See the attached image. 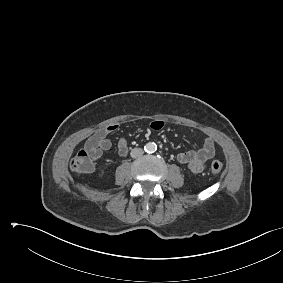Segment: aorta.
I'll list each match as a JSON object with an SVG mask.
<instances>
[{
    "mask_svg": "<svg viewBox=\"0 0 283 283\" xmlns=\"http://www.w3.org/2000/svg\"><path fill=\"white\" fill-rule=\"evenodd\" d=\"M145 148L148 153H153L156 151L157 145L154 142H149L146 144Z\"/></svg>",
    "mask_w": 283,
    "mask_h": 283,
    "instance_id": "aorta-1",
    "label": "aorta"
}]
</instances>
